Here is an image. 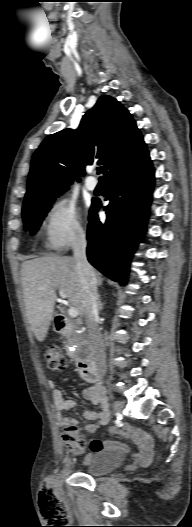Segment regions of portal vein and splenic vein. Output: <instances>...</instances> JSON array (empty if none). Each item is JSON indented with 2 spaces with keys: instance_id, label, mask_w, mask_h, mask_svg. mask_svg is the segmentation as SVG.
I'll use <instances>...</instances> for the list:
<instances>
[{
  "instance_id": "portal-vein-and-splenic-vein-1",
  "label": "portal vein and splenic vein",
  "mask_w": 192,
  "mask_h": 527,
  "mask_svg": "<svg viewBox=\"0 0 192 527\" xmlns=\"http://www.w3.org/2000/svg\"><path fill=\"white\" fill-rule=\"evenodd\" d=\"M59 294L62 299L67 298L66 294L61 289L59 290ZM68 315L72 318H76L79 315V312L75 307H70L68 310Z\"/></svg>"
}]
</instances>
